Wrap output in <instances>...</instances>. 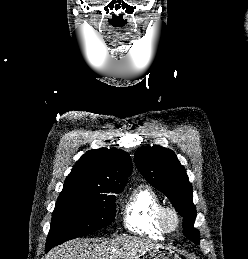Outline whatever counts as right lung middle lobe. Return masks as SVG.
I'll use <instances>...</instances> for the list:
<instances>
[{"instance_id":"1","label":"right lung middle lobe","mask_w":248,"mask_h":259,"mask_svg":"<svg viewBox=\"0 0 248 259\" xmlns=\"http://www.w3.org/2000/svg\"><path fill=\"white\" fill-rule=\"evenodd\" d=\"M123 189L63 188L52 215L47 242L53 246L108 226L116 215L115 196Z\"/></svg>"}]
</instances>
